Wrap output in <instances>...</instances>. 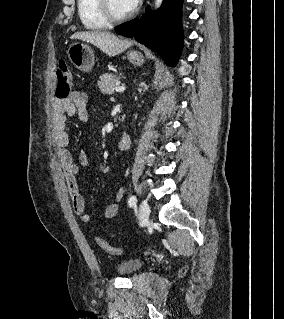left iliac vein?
I'll list each match as a JSON object with an SVG mask.
<instances>
[{
    "label": "left iliac vein",
    "mask_w": 284,
    "mask_h": 319,
    "mask_svg": "<svg viewBox=\"0 0 284 319\" xmlns=\"http://www.w3.org/2000/svg\"><path fill=\"white\" fill-rule=\"evenodd\" d=\"M150 208L146 200H142L139 206V225L145 226L148 224Z\"/></svg>",
    "instance_id": "obj_1"
}]
</instances>
